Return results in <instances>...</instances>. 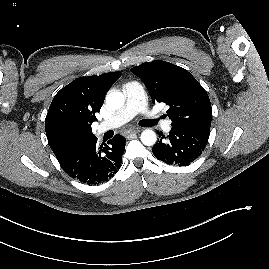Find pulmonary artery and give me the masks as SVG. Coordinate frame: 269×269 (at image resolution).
Here are the masks:
<instances>
[{"label": "pulmonary artery", "mask_w": 269, "mask_h": 269, "mask_svg": "<svg viewBox=\"0 0 269 269\" xmlns=\"http://www.w3.org/2000/svg\"><path fill=\"white\" fill-rule=\"evenodd\" d=\"M122 91L126 97L125 105L110 119L98 125L97 134L115 129L125 124L139 113L145 115L148 119L156 120L158 118L154 112L148 109L146 94L141 84L135 81L128 82L123 85ZM162 126L166 132H169L171 130V121H163Z\"/></svg>", "instance_id": "1"}]
</instances>
